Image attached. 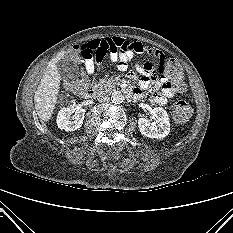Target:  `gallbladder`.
<instances>
[{
  "mask_svg": "<svg viewBox=\"0 0 233 233\" xmlns=\"http://www.w3.org/2000/svg\"><path fill=\"white\" fill-rule=\"evenodd\" d=\"M57 68L62 79L75 80L79 77L78 66L68 59H62L57 63Z\"/></svg>",
  "mask_w": 233,
  "mask_h": 233,
  "instance_id": "bac80fb5",
  "label": "gallbladder"
}]
</instances>
